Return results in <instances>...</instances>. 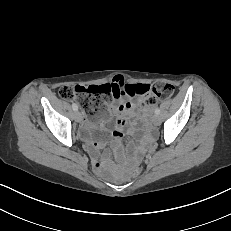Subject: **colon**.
Listing matches in <instances>:
<instances>
[{"label":"colon","mask_w":231,"mask_h":231,"mask_svg":"<svg viewBox=\"0 0 231 231\" xmlns=\"http://www.w3.org/2000/svg\"><path fill=\"white\" fill-rule=\"evenodd\" d=\"M128 91L133 95H146L145 104L153 106L158 99L170 98L174 93V87L169 83L156 82L153 85L136 84L128 87ZM58 94L62 99L77 101L90 118L106 119L107 105L112 98L120 95V90L112 83L88 87L66 85L59 89ZM141 171L142 165L136 164L131 174L137 176Z\"/></svg>","instance_id":"5ec220e1"}]
</instances>
